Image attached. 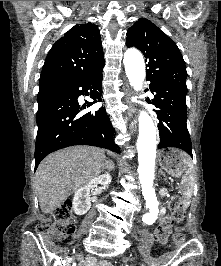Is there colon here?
<instances>
[{
	"instance_id": "1",
	"label": "colon",
	"mask_w": 221,
	"mask_h": 266,
	"mask_svg": "<svg viewBox=\"0 0 221 266\" xmlns=\"http://www.w3.org/2000/svg\"><path fill=\"white\" fill-rule=\"evenodd\" d=\"M169 207L170 214L163 218L155 231L157 240L162 244L166 243L172 232L173 226L181 223L185 216V207L179 196H174L171 199ZM71 209V201H62L55 207L53 211V225L37 226V231L45 234H52L56 237H67L74 234L76 226L72 219ZM174 240L176 244L182 245L185 241V236L181 232H176L174 235Z\"/></svg>"
}]
</instances>
